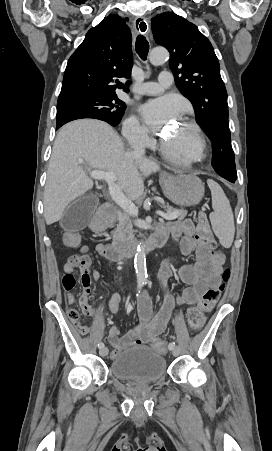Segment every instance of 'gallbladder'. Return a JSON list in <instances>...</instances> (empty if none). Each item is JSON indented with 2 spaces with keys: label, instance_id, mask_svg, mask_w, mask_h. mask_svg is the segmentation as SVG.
I'll return each mask as SVG.
<instances>
[{
  "label": "gallbladder",
  "instance_id": "gallbladder-1",
  "mask_svg": "<svg viewBox=\"0 0 272 451\" xmlns=\"http://www.w3.org/2000/svg\"><path fill=\"white\" fill-rule=\"evenodd\" d=\"M97 206L98 198H95V196H81V198H77L75 202H72L66 208L60 220V226L63 229H71V231L84 229L92 216H94Z\"/></svg>",
  "mask_w": 272,
  "mask_h": 451
}]
</instances>
